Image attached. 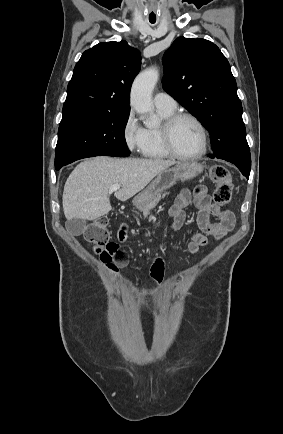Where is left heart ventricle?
Returning <instances> with one entry per match:
<instances>
[{"instance_id":"b2bd125f","label":"left heart ventricle","mask_w":283,"mask_h":434,"mask_svg":"<svg viewBox=\"0 0 283 434\" xmlns=\"http://www.w3.org/2000/svg\"><path fill=\"white\" fill-rule=\"evenodd\" d=\"M175 149L184 155H192L201 149V135L197 126L189 119H181L172 132Z\"/></svg>"}]
</instances>
